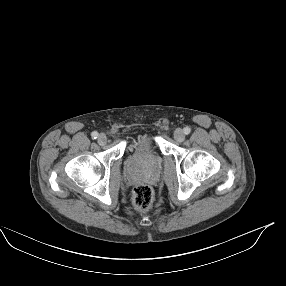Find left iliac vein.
<instances>
[{"mask_svg": "<svg viewBox=\"0 0 286 286\" xmlns=\"http://www.w3.org/2000/svg\"><path fill=\"white\" fill-rule=\"evenodd\" d=\"M174 138L178 142H182L185 139V134L182 129H176L174 132Z\"/></svg>", "mask_w": 286, "mask_h": 286, "instance_id": "1", "label": "left iliac vein"}]
</instances>
